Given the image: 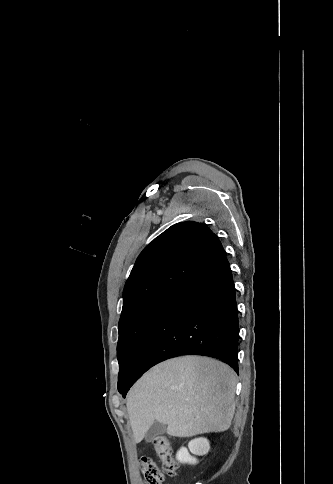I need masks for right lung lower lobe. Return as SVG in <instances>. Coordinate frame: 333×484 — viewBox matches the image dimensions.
I'll return each mask as SVG.
<instances>
[{"instance_id":"right-lung-lower-lobe-1","label":"right lung lower lobe","mask_w":333,"mask_h":484,"mask_svg":"<svg viewBox=\"0 0 333 484\" xmlns=\"http://www.w3.org/2000/svg\"><path fill=\"white\" fill-rule=\"evenodd\" d=\"M238 310L226 256L173 291L143 335L130 367L126 396L150 367L178 355L225 361L238 373Z\"/></svg>"}]
</instances>
